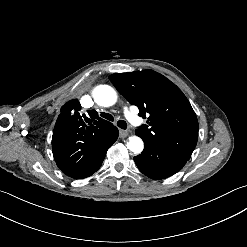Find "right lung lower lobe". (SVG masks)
<instances>
[{
  "instance_id": "1",
  "label": "right lung lower lobe",
  "mask_w": 247,
  "mask_h": 247,
  "mask_svg": "<svg viewBox=\"0 0 247 247\" xmlns=\"http://www.w3.org/2000/svg\"><path fill=\"white\" fill-rule=\"evenodd\" d=\"M118 132L104 144L96 145L84 154H81L84 149L72 154L73 145L70 141V135H62L59 138L52 139V150L57 166L67 176L82 179L91 176L102 165L107 150L117 140Z\"/></svg>"
}]
</instances>
